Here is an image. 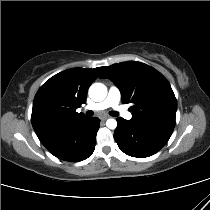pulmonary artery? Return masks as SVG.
Segmentation results:
<instances>
[{"label": "pulmonary artery", "instance_id": "pulmonary-artery-1", "mask_svg": "<svg viewBox=\"0 0 210 210\" xmlns=\"http://www.w3.org/2000/svg\"><path fill=\"white\" fill-rule=\"evenodd\" d=\"M121 94L117 87H111L109 89L107 97L99 102L86 107L88 110L100 111L106 108L112 107L114 108L123 118L131 119L132 114L126 110H124L120 105Z\"/></svg>", "mask_w": 210, "mask_h": 210}]
</instances>
